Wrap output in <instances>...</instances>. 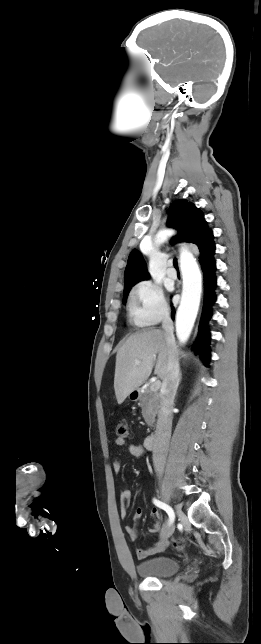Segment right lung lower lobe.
I'll list each match as a JSON object with an SVG mask.
<instances>
[{"label":"right lung lower lobe","mask_w":261,"mask_h":644,"mask_svg":"<svg viewBox=\"0 0 261 644\" xmlns=\"http://www.w3.org/2000/svg\"><path fill=\"white\" fill-rule=\"evenodd\" d=\"M200 263L204 273V303L201 320L199 323L198 335L195 343L193 344V350L196 354L200 355L201 359L207 365L210 360V331L208 329V322L212 316L211 306L216 301V295L214 292V289L216 287V264L213 257L208 258L205 261H201ZM171 315L172 319L174 320V308H172Z\"/></svg>","instance_id":"1"}]
</instances>
